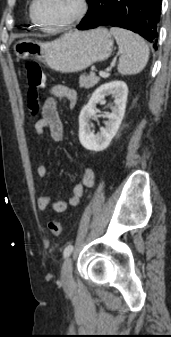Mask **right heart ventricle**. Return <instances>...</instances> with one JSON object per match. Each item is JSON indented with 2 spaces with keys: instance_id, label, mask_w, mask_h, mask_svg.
<instances>
[{
  "instance_id": "obj_1",
  "label": "right heart ventricle",
  "mask_w": 171,
  "mask_h": 337,
  "mask_svg": "<svg viewBox=\"0 0 171 337\" xmlns=\"http://www.w3.org/2000/svg\"><path fill=\"white\" fill-rule=\"evenodd\" d=\"M29 19H30V23H31L32 26H38V25L33 21V19L31 18L30 11H29Z\"/></svg>"
}]
</instances>
